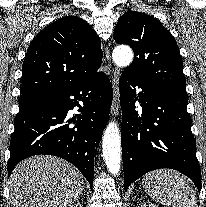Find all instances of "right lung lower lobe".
<instances>
[{"label":"right lung lower lobe","instance_id":"1","mask_svg":"<svg viewBox=\"0 0 206 207\" xmlns=\"http://www.w3.org/2000/svg\"><path fill=\"white\" fill-rule=\"evenodd\" d=\"M41 95L43 97L38 104L19 112L15 118L8 177L25 158L49 154L75 165L92 186L95 151L113 99L109 78L99 72L82 82ZM75 106L79 107L80 114L68 119V111ZM71 122L75 126L68 124Z\"/></svg>","mask_w":206,"mask_h":207}]
</instances>
